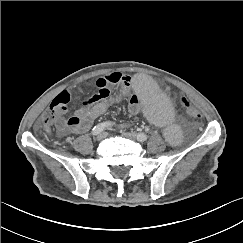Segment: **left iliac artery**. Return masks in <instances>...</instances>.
Masks as SVG:
<instances>
[{
	"label": "left iliac artery",
	"instance_id": "obj_1",
	"mask_svg": "<svg viewBox=\"0 0 243 243\" xmlns=\"http://www.w3.org/2000/svg\"><path fill=\"white\" fill-rule=\"evenodd\" d=\"M137 139L141 142H144L148 139V135L145 133H138L137 134Z\"/></svg>",
	"mask_w": 243,
	"mask_h": 243
}]
</instances>
